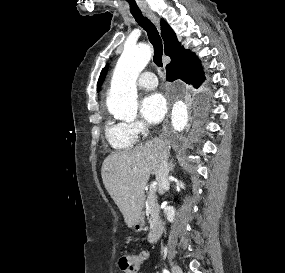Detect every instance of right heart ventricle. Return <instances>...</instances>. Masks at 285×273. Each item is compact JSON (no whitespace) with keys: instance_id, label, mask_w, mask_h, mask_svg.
<instances>
[{"instance_id":"e07e8e85","label":"right heart ventricle","mask_w":285,"mask_h":273,"mask_svg":"<svg viewBox=\"0 0 285 273\" xmlns=\"http://www.w3.org/2000/svg\"><path fill=\"white\" fill-rule=\"evenodd\" d=\"M104 133L109 145L115 150H128L133 147L137 139L128 124L123 122L108 121Z\"/></svg>"}]
</instances>
